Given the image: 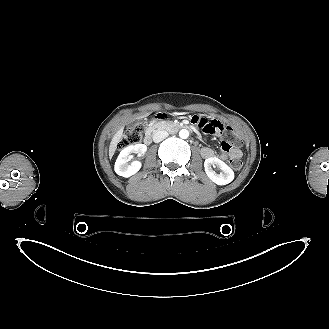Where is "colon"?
Listing matches in <instances>:
<instances>
[{
    "mask_svg": "<svg viewBox=\"0 0 329 329\" xmlns=\"http://www.w3.org/2000/svg\"><path fill=\"white\" fill-rule=\"evenodd\" d=\"M220 122V121H219ZM143 135V127L142 125H135L133 127H129L123 134L119 144L118 149H124L130 147L132 145L138 144ZM222 139V147L223 149L229 150L232 147H237L241 144L240 138L237 136L235 131L226 127V129L222 130L219 134H217ZM229 165L233 170H240L243 166V162L239 157H231L229 160Z\"/></svg>",
    "mask_w": 329,
    "mask_h": 329,
    "instance_id": "obj_1",
    "label": "colon"
}]
</instances>
